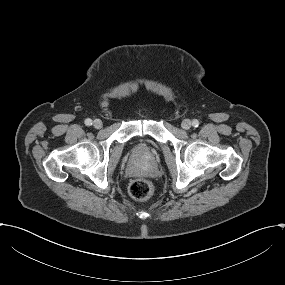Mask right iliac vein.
<instances>
[{"instance_id": "obj_1", "label": "right iliac vein", "mask_w": 285, "mask_h": 285, "mask_svg": "<svg viewBox=\"0 0 285 285\" xmlns=\"http://www.w3.org/2000/svg\"><path fill=\"white\" fill-rule=\"evenodd\" d=\"M93 126L96 129H101L103 127V123H102V121L100 119H95L93 121Z\"/></svg>"}]
</instances>
